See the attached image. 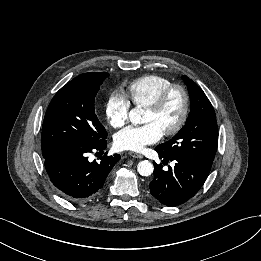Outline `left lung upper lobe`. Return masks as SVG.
Here are the masks:
<instances>
[{"label":"left lung upper lobe","instance_id":"obj_1","mask_svg":"<svg viewBox=\"0 0 261 261\" xmlns=\"http://www.w3.org/2000/svg\"><path fill=\"white\" fill-rule=\"evenodd\" d=\"M182 78L191 99L189 117L172 139L155 149L166 157L185 158L190 164L210 171L218 141L215 112L202 89L187 76Z\"/></svg>","mask_w":261,"mask_h":261}]
</instances>
